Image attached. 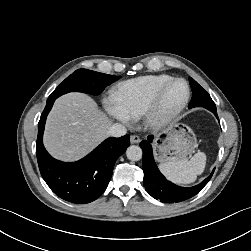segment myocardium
<instances>
[{
  "label": "myocardium",
  "mask_w": 251,
  "mask_h": 251,
  "mask_svg": "<svg viewBox=\"0 0 251 251\" xmlns=\"http://www.w3.org/2000/svg\"><path fill=\"white\" fill-rule=\"evenodd\" d=\"M181 82L185 85L186 95L184 100L174 109L164 112L162 100L167 89L174 83ZM191 96V89L188 82L183 78H172L163 84L154 94L151 102L143 113L145 125L153 130H159L172 123L186 108Z\"/></svg>",
  "instance_id": "myocardium-1"
}]
</instances>
